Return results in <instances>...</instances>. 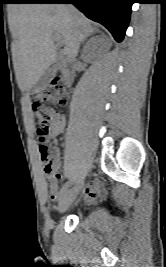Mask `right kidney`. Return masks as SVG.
<instances>
[{
	"label": "right kidney",
	"mask_w": 166,
	"mask_h": 267,
	"mask_svg": "<svg viewBox=\"0 0 166 267\" xmlns=\"http://www.w3.org/2000/svg\"><path fill=\"white\" fill-rule=\"evenodd\" d=\"M95 40H97L98 42L106 43L104 37L91 40L90 46L88 48V55L95 56V51L98 49L99 46L98 42H96Z\"/></svg>",
	"instance_id": "ca27d5eb"
}]
</instances>
